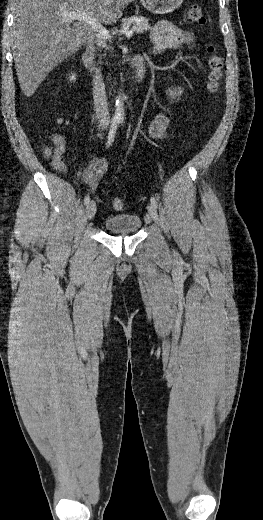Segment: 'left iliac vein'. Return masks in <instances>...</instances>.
<instances>
[{
  "label": "left iliac vein",
  "instance_id": "left-iliac-vein-1",
  "mask_svg": "<svg viewBox=\"0 0 263 520\" xmlns=\"http://www.w3.org/2000/svg\"><path fill=\"white\" fill-rule=\"evenodd\" d=\"M147 210H148V213H149L150 217L152 218V220L154 222L158 223V213H157L156 207L153 204H149L147 206Z\"/></svg>",
  "mask_w": 263,
  "mask_h": 520
}]
</instances>
